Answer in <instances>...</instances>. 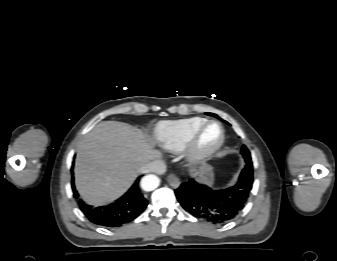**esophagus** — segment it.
<instances>
[{
  "instance_id": "1",
  "label": "esophagus",
  "mask_w": 337,
  "mask_h": 261,
  "mask_svg": "<svg viewBox=\"0 0 337 261\" xmlns=\"http://www.w3.org/2000/svg\"><path fill=\"white\" fill-rule=\"evenodd\" d=\"M167 181L173 188H178L180 186V179L174 174L168 175Z\"/></svg>"
}]
</instances>
